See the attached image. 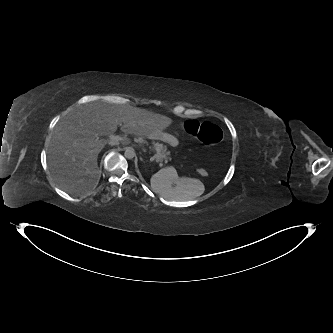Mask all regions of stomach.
<instances>
[{"instance_id":"1","label":"stomach","mask_w":333,"mask_h":333,"mask_svg":"<svg viewBox=\"0 0 333 333\" xmlns=\"http://www.w3.org/2000/svg\"><path fill=\"white\" fill-rule=\"evenodd\" d=\"M160 135H161L160 140H164V141H169L170 139L174 138L173 136H171L167 133H164V132H161Z\"/></svg>"}]
</instances>
